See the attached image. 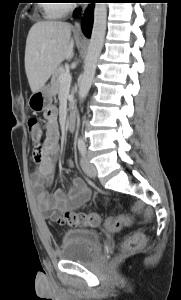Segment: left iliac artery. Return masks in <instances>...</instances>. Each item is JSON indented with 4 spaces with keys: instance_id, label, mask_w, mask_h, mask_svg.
I'll return each mask as SVG.
<instances>
[{
    "instance_id": "1",
    "label": "left iliac artery",
    "mask_w": 181,
    "mask_h": 300,
    "mask_svg": "<svg viewBox=\"0 0 181 300\" xmlns=\"http://www.w3.org/2000/svg\"><path fill=\"white\" fill-rule=\"evenodd\" d=\"M78 149L82 155L86 154V144L83 139H78Z\"/></svg>"
}]
</instances>
